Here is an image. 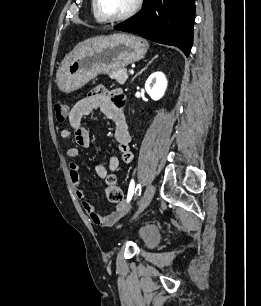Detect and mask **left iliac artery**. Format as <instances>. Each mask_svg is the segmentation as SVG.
<instances>
[{
  "label": "left iliac artery",
  "mask_w": 261,
  "mask_h": 306,
  "mask_svg": "<svg viewBox=\"0 0 261 306\" xmlns=\"http://www.w3.org/2000/svg\"><path fill=\"white\" fill-rule=\"evenodd\" d=\"M134 193V181L131 180L130 185H129V190H128V195H127V201L129 202L132 199ZM141 194V185L138 184L135 188V195H139Z\"/></svg>",
  "instance_id": "obj_1"
}]
</instances>
